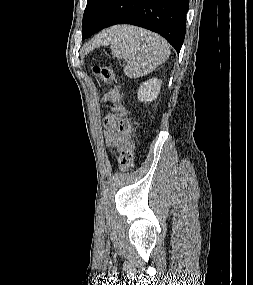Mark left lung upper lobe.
I'll list each match as a JSON object with an SVG mask.
<instances>
[{
  "instance_id": "obj_1",
  "label": "left lung upper lobe",
  "mask_w": 253,
  "mask_h": 285,
  "mask_svg": "<svg viewBox=\"0 0 253 285\" xmlns=\"http://www.w3.org/2000/svg\"><path fill=\"white\" fill-rule=\"evenodd\" d=\"M111 0H87L82 22L83 39L96 25Z\"/></svg>"
}]
</instances>
